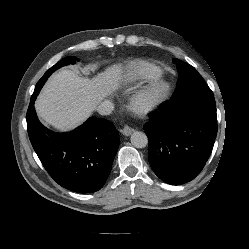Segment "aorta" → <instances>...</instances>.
<instances>
[{
	"mask_svg": "<svg viewBox=\"0 0 249 249\" xmlns=\"http://www.w3.org/2000/svg\"><path fill=\"white\" fill-rule=\"evenodd\" d=\"M131 143L136 148H144L148 144L147 135L141 131H135L131 135Z\"/></svg>",
	"mask_w": 249,
	"mask_h": 249,
	"instance_id": "1",
	"label": "aorta"
}]
</instances>
